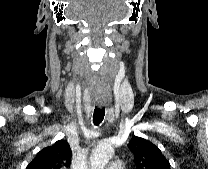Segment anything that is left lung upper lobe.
<instances>
[{
    "mask_svg": "<svg viewBox=\"0 0 208 169\" xmlns=\"http://www.w3.org/2000/svg\"><path fill=\"white\" fill-rule=\"evenodd\" d=\"M128 148L134 154L137 169H170L168 160L152 142L134 136Z\"/></svg>",
    "mask_w": 208,
    "mask_h": 169,
    "instance_id": "1",
    "label": "left lung upper lobe"
}]
</instances>
